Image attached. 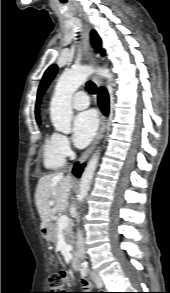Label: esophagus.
Segmentation results:
<instances>
[{"mask_svg":"<svg viewBox=\"0 0 170 293\" xmlns=\"http://www.w3.org/2000/svg\"><path fill=\"white\" fill-rule=\"evenodd\" d=\"M84 45H85V53H86V57H87L88 62L91 65H95L97 63V60H96V58L94 56L93 47L91 45L90 27L87 24H85V27H84ZM92 80L98 86H100L102 84L101 78L98 75H96V74H94L92 76ZM105 124H106L105 116L102 113H100V126H99V129H98V132L96 134L95 139L91 143V145L82 154V156H81V158L79 160L80 163H82L83 161H85L87 159V157L92 153V151L94 150V148L96 147V145L101 140V138L103 136V133L105 131Z\"/></svg>","mask_w":170,"mask_h":293,"instance_id":"esophagus-1","label":"esophagus"}]
</instances>
